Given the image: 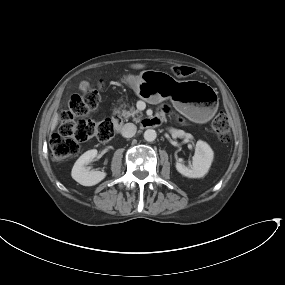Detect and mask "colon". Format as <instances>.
Here are the masks:
<instances>
[{
  "instance_id": "5ec220e1",
  "label": "colon",
  "mask_w": 285,
  "mask_h": 285,
  "mask_svg": "<svg viewBox=\"0 0 285 285\" xmlns=\"http://www.w3.org/2000/svg\"><path fill=\"white\" fill-rule=\"evenodd\" d=\"M177 78H187L194 73L189 66H174L172 70ZM98 90H88L85 94H75L70 98L68 109L61 113V123L58 132L50 140L53 157L57 161L67 160L79 151V145L93 137L102 142H108L115 133V123L111 119L94 122L86 118L90 111L99 103ZM212 131L219 141L230 140V124L228 117L220 113L212 122Z\"/></svg>"
}]
</instances>
